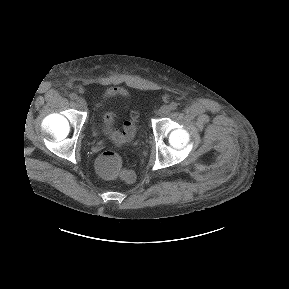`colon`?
I'll use <instances>...</instances> for the list:
<instances>
[{
  "mask_svg": "<svg viewBox=\"0 0 289 289\" xmlns=\"http://www.w3.org/2000/svg\"><path fill=\"white\" fill-rule=\"evenodd\" d=\"M137 116L133 114L130 119L123 124V130L116 136L117 140L128 138L133 135ZM97 169L99 173L107 179L130 180L131 175L123 168V161L119 153L113 150H106L97 159Z\"/></svg>",
  "mask_w": 289,
  "mask_h": 289,
  "instance_id": "5ec220e1",
  "label": "colon"
}]
</instances>
